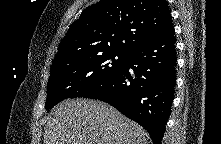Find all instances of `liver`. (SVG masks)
Instances as JSON below:
<instances>
[{
  "label": "liver",
  "instance_id": "1",
  "mask_svg": "<svg viewBox=\"0 0 221 144\" xmlns=\"http://www.w3.org/2000/svg\"><path fill=\"white\" fill-rule=\"evenodd\" d=\"M147 132L107 103L67 99L53 110L44 144H147Z\"/></svg>",
  "mask_w": 221,
  "mask_h": 144
}]
</instances>
